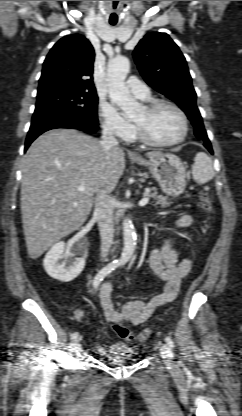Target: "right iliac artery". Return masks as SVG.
I'll list each match as a JSON object with an SVG mask.
<instances>
[{
	"label": "right iliac artery",
	"mask_w": 242,
	"mask_h": 416,
	"mask_svg": "<svg viewBox=\"0 0 242 416\" xmlns=\"http://www.w3.org/2000/svg\"><path fill=\"white\" fill-rule=\"evenodd\" d=\"M117 267H118V263L113 262V263L106 265L102 270H100L93 280L94 289H97L101 281ZM78 336H79V333L74 332L71 335V340L72 341L76 340Z\"/></svg>",
	"instance_id": "obj_1"
}]
</instances>
